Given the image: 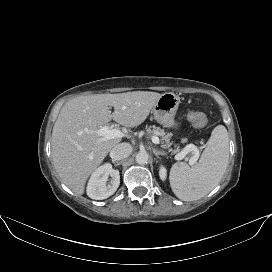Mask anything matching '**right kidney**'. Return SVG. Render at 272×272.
<instances>
[{
	"mask_svg": "<svg viewBox=\"0 0 272 272\" xmlns=\"http://www.w3.org/2000/svg\"><path fill=\"white\" fill-rule=\"evenodd\" d=\"M109 176L110 183L107 184ZM120 184L119 171L105 164L97 168L91 175L87 185V195L94 200H103L113 195Z\"/></svg>",
	"mask_w": 272,
	"mask_h": 272,
	"instance_id": "ca27d5eb",
	"label": "right kidney"
}]
</instances>
